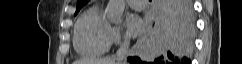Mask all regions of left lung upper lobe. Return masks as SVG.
Returning <instances> with one entry per match:
<instances>
[{"label":"left lung upper lobe","mask_w":242,"mask_h":64,"mask_svg":"<svg viewBox=\"0 0 242 64\" xmlns=\"http://www.w3.org/2000/svg\"><path fill=\"white\" fill-rule=\"evenodd\" d=\"M89 0H78L75 15L79 12V10L88 2Z\"/></svg>","instance_id":"left-lung-upper-lobe-1"}]
</instances>
